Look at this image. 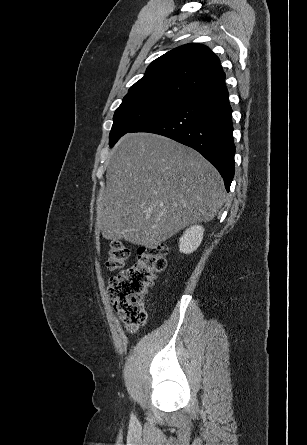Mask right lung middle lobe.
<instances>
[{
    "label": "right lung middle lobe",
    "instance_id": "1",
    "mask_svg": "<svg viewBox=\"0 0 307 445\" xmlns=\"http://www.w3.org/2000/svg\"><path fill=\"white\" fill-rule=\"evenodd\" d=\"M184 100L164 95L125 96L113 117L114 122L109 135L110 147L127 132L172 110Z\"/></svg>",
    "mask_w": 307,
    "mask_h": 445
}]
</instances>
